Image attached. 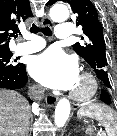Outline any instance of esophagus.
<instances>
[{"label":"esophagus","instance_id":"34e87169","mask_svg":"<svg viewBox=\"0 0 117 136\" xmlns=\"http://www.w3.org/2000/svg\"><path fill=\"white\" fill-rule=\"evenodd\" d=\"M41 23L45 26H49V27L53 26V22L48 16H44L41 20ZM45 100L48 105L53 106L56 104L58 97L52 94H47Z\"/></svg>","mask_w":117,"mask_h":136}]
</instances>
